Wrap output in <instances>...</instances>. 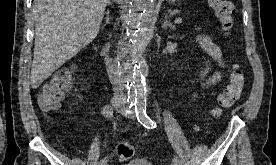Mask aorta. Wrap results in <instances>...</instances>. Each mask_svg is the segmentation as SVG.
<instances>
[{
  "label": "aorta",
  "instance_id": "aorta-1",
  "mask_svg": "<svg viewBox=\"0 0 276 165\" xmlns=\"http://www.w3.org/2000/svg\"><path fill=\"white\" fill-rule=\"evenodd\" d=\"M154 4L155 0H131L119 43L118 70L133 102L146 101L147 66L142 53L152 31Z\"/></svg>",
  "mask_w": 276,
  "mask_h": 165
}]
</instances>
